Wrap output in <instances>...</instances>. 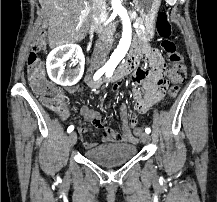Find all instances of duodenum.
Here are the masks:
<instances>
[{
    "instance_id": "1",
    "label": "duodenum",
    "mask_w": 217,
    "mask_h": 202,
    "mask_svg": "<svg viewBox=\"0 0 217 202\" xmlns=\"http://www.w3.org/2000/svg\"><path fill=\"white\" fill-rule=\"evenodd\" d=\"M139 59H140V51L134 45L125 62L121 64L114 71V73L106 74L104 79L94 80V81L92 80L91 76H88L86 78V81L90 86L94 88H99L108 83H116L122 80L123 78L129 76L134 71V69L138 64Z\"/></svg>"
}]
</instances>
